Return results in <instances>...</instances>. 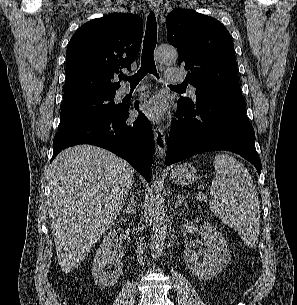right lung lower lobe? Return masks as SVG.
I'll return each instance as SVG.
<instances>
[{
	"label": "right lung lower lobe",
	"instance_id": "obj_1",
	"mask_svg": "<svg viewBox=\"0 0 297 305\" xmlns=\"http://www.w3.org/2000/svg\"><path fill=\"white\" fill-rule=\"evenodd\" d=\"M129 109L130 105H123L115 113L92 115L59 130L53 140L51 161L67 147L92 144L127 160L149 181L154 149L151 124L142 113L133 124H127Z\"/></svg>",
	"mask_w": 297,
	"mask_h": 305
}]
</instances>
